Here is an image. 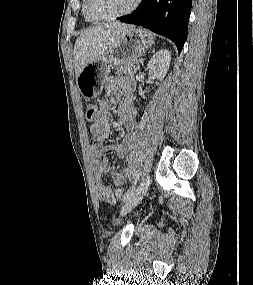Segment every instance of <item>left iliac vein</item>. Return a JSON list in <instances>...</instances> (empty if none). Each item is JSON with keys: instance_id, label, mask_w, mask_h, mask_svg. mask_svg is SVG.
<instances>
[{"instance_id": "1", "label": "left iliac vein", "mask_w": 253, "mask_h": 285, "mask_svg": "<svg viewBox=\"0 0 253 285\" xmlns=\"http://www.w3.org/2000/svg\"><path fill=\"white\" fill-rule=\"evenodd\" d=\"M150 185V176H146L133 195L126 201L125 205L122 208V214H127L130 212L134 207H136L140 201L145 196L148 188Z\"/></svg>"}]
</instances>
